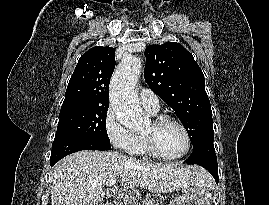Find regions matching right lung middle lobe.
Segmentation results:
<instances>
[{
	"label": "right lung middle lobe",
	"instance_id": "dd1d6c3e",
	"mask_svg": "<svg viewBox=\"0 0 269 205\" xmlns=\"http://www.w3.org/2000/svg\"><path fill=\"white\" fill-rule=\"evenodd\" d=\"M109 105L62 106L54 140L80 137L109 144L106 131V114Z\"/></svg>",
	"mask_w": 269,
	"mask_h": 205
}]
</instances>
